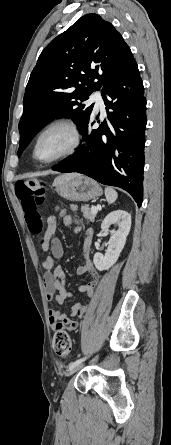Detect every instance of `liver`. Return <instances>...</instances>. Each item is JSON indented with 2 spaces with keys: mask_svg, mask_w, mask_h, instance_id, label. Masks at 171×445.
Instances as JSON below:
<instances>
[{
  "mask_svg": "<svg viewBox=\"0 0 171 445\" xmlns=\"http://www.w3.org/2000/svg\"><path fill=\"white\" fill-rule=\"evenodd\" d=\"M66 176H68V177H73V176H76L75 174H71V175H66Z\"/></svg>",
  "mask_w": 171,
  "mask_h": 445,
  "instance_id": "obj_1",
  "label": "liver"
}]
</instances>
